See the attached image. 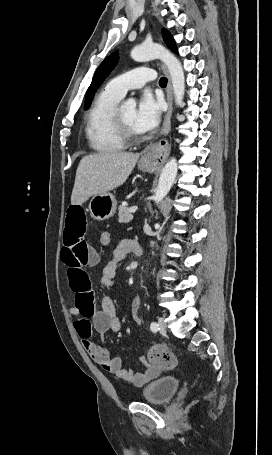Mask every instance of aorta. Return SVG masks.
<instances>
[{"label": "aorta", "mask_w": 272, "mask_h": 455, "mask_svg": "<svg viewBox=\"0 0 272 455\" xmlns=\"http://www.w3.org/2000/svg\"><path fill=\"white\" fill-rule=\"evenodd\" d=\"M131 57L138 62L161 59L167 66L171 76L175 103L176 105H182L185 93V76L180 61L172 53L159 44L143 43L132 49ZM135 107L136 101L134 99H128L122 106V109L124 111L134 110ZM177 171V161L175 158H171L165 164L160 174L158 186L153 197L155 203L158 204L161 202L168 194L174 184Z\"/></svg>", "instance_id": "1"}]
</instances>
